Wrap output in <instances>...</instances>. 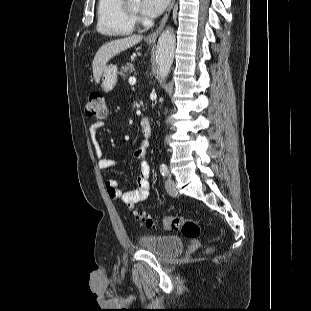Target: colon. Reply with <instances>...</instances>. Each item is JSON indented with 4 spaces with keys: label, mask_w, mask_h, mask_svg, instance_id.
I'll use <instances>...</instances> for the list:
<instances>
[{
    "label": "colon",
    "mask_w": 311,
    "mask_h": 311,
    "mask_svg": "<svg viewBox=\"0 0 311 311\" xmlns=\"http://www.w3.org/2000/svg\"><path fill=\"white\" fill-rule=\"evenodd\" d=\"M105 98L100 92H92L85 105V113L88 117L103 119L106 116ZM135 218L149 229H154L157 222L150 216L141 212L133 211ZM162 228L167 231L180 232L186 238H196L200 235L201 229L198 223L188 217L177 216L167 217L162 222Z\"/></svg>",
    "instance_id": "1"
}]
</instances>
